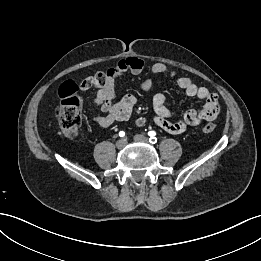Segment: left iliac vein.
<instances>
[{
	"mask_svg": "<svg viewBox=\"0 0 261 261\" xmlns=\"http://www.w3.org/2000/svg\"><path fill=\"white\" fill-rule=\"evenodd\" d=\"M134 140L137 142H144V143H149V140L146 136L142 134H137L134 136Z\"/></svg>",
	"mask_w": 261,
	"mask_h": 261,
	"instance_id": "1",
	"label": "left iliac vein"
}]
</instances>
